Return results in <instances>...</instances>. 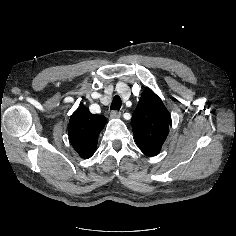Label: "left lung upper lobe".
Instances as JSON below:
<instances>
[{
	"label": "left lung upper lobe",
	"instance_id": "left-lung-upper-lobe-1",
	"mask_svg": "<svg viewBox=\"0 0 236 236\" xmlns=\"http://www.w3.org/2000/svg\"><path fill=\"white\" fill-rule=\"evenodd\" d=\"M136 143L147 156L157 155L169 133L171 117L161 99L146 89L132 115Z\"/></svg>",
	"mask_w": 236,
	"mask_h": 236
}]
</instances>
